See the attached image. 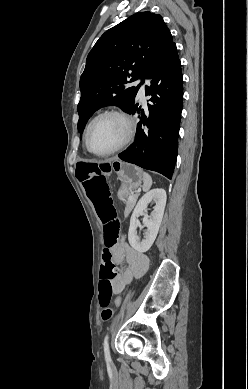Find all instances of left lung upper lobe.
Wrapping results in <instances>:
<instances>
[{
	"label": "left lung upper lobe",
	"instance_id": "5c2ea615",
	"mask_svg": "<svg viewBox=\"0 0 248 389\" xmlns=\"http://www.w3.org/2000/svg\"><path fill=\"white\" fill-rule=\"evenodd\" d=\"M173 44L163 18L149 11L138 12L107 30L89 52L80 78L79 132L101 107L114 105L126 112L141 85L127 84L145 79Z\"/></svg>",
	"mask_w": 248,
	"mask_h": 389
}]
</instances>
